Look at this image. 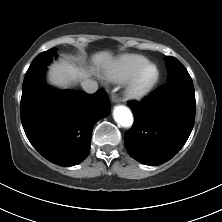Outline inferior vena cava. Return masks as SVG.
I'll list each match as a JSON object with an SVG mask.
<instances>
[{
    "mask_svg": "<svg viewBox=\"0 0 222 222\" xmlns=\"http://www.w3.org/2000/svg\"><path fill=\"white\" fill-rule=\"evenodd\" d=\"M81 86L86 93L92 94L98 90V83L92 79H86L81 82Z\"/></svg>",
    "mask_w": 222,
    "mask_h": 222,
    "instance_id": "602c4592",
    "label": "inferior vena cava"
}]
</instances>
